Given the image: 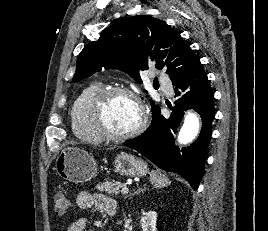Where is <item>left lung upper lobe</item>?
Instances as JSON below:
<instances>
[{
	"label": "left lung upper lobe",
	"instance_id": "obj_1",
	"mask_svg": "<svg viewBox=\"0 0 268 231\" xmlns=\"http://www.w3.org/2000/svg\"><path fill=\"white\" fill-rule=\"evenodd\" d=\"M148 38L147 43L140 40ZM198 58L180 33L164 21L137 15L121 19L105 29L97 41L90 42L77 60L73 82H78L102 67L120 69L142 82L140 72L149 66L165 70L171 80L187 70ZM152 118L160 107L150 100Z\"/></svg>",
	"mask_w": 268,
	"mask_h": 231
}]
</instances>
